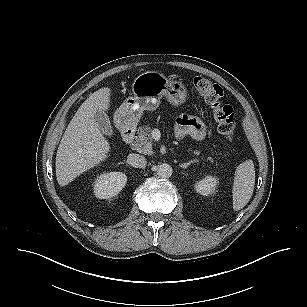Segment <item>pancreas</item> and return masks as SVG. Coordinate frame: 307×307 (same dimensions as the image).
Wrapping results in <instances>:
<instances>
[{
    "instance_id": "cf45deb5",
    "label": "pancreas",
    "mask_w": 307,
    "mask_h": 307,
    "mask_svg": "<svg viewBox=\"0 0 307 307\" xmlns=\"http://www.w3.org/2000/svg\"><path fill=\"white\" fill-rule=\"evenodd\" d=\"M151 127L149 125H143L137 131L138 136L136 137V141L133 143V147L135 150L144 153L146 155L152 154V141L153 137L151 135ZM195 155H199L200 152L194 151ZM210 162H213L211 157L207 158Z\"/></svg>"
}]
</instances>
